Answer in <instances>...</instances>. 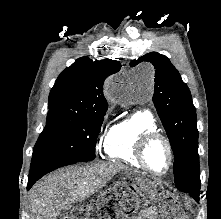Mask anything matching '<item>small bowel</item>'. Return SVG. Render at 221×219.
<instances>
[{
  "mask_svg": "<svg viewBox=\"0 0 221 219\" xmlns=\"http://www.w3.org/2000/svg\"><path fill=\"white\" fill-rule=\"evenodd\" d=\"M155 214H156L155 209L150 207L144 209L138 216L132 219H156Z\"/></svg>",
  "mask_w": 221,
  "mask_h": 219,
  "instance_id": "obj_1",
  "label": "small bowel"
}]
</instances>
